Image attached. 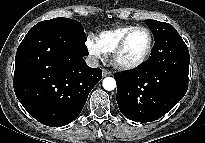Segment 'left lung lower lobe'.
Returning <instances> with one entry per match:
<instances>
[{
	"label": "left lung lower lobe",
	"instance_id": "obj_1",
	"mask_svg": "<svg viewBox=\"0 0 205 143\" xmlns=\"http://www.w3.org/2000/svg\"><path fill=\"white\" fill-rule=\"evenodd\" d=\"M189 63L188 48L177 31L155 41L146 62L114 74L121 113L136 122L165 115L187 92Z\"/></svg>",
	"mask_w": 205,
	"mask_h": 143
}]
</instances>
